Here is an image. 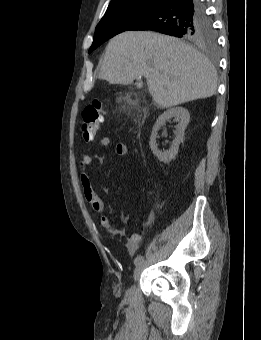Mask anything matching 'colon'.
Returning <instances> with one entry per match:
<instances>
[{"instance_id": "colon-1", "label": "colon", "mask_w": 261, "mask_h": 340, "mask_svg": "<svg viewBox=\"0 0 261 340\" xmlns=\"http://www.w3.org/2000/svg\"><path fill=\"white\" fill-rule=\"evenodd\" d=\"M105 107L100 101L93 102L86 106L82 112L83 124L82 134L86 142L92 141L98 131L100 123L103 121Z\"/></svg>"}]
</instances>
